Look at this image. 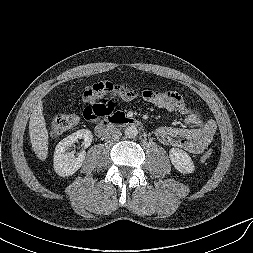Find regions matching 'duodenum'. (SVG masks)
<instances>
[{
  "label": "duodenum",
  "mask_w": 253,
  "mask_h": 253,
  "mask_svg": "<svg viewBox=\"0 0 253 253\" xmlns=\"http://www.w3.org/2000/svg\"><path fill=\"white\" fill-rule=\"evenodd\" d=\"M140 121L127 116L125 113L116 112L107 119L101 121L96 127L95 132L98 136H106L114 127L117 126H138Z\"/></svg>",
  "instance_id": "410a0bca"
}]
</instances>
